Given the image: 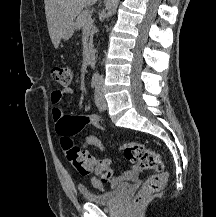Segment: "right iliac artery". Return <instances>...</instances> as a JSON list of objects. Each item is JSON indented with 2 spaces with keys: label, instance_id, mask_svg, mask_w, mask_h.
<instances>
[{
  "label": "right iliac artery",
  "instance_id": "right-iliac-artery-1",
  "mask_svg": "<svg viewBox=\"0 0 216 217\" xmlns=\"http://www.w3.org/2000/svg\"><path fill=\"white\" fill-rule=\"evenodd\" d=\"M98 83H99V76L97 74H94L91 81V87L97 88Z\"/></svg>",
  "mask_w": 216,
  "mask_h": 217
}]
</instances>
